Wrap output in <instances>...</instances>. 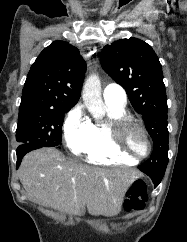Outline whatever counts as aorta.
<instances>
[{"mask_svg": "<svg viewBox=\"0 0 187 242\" xmlns=\"http://www.w3.org/2000/svg\"><path fill=\"white\" fill-rule=\"evenodd\" d=\"M82 98L92 116L102 119L105 116V106L101 97V83L98 75H90L83 86Z\"/></svg>", "mask_w": 187, "mask_h": 242, "instance_id": "obj_1", "label": "aorta"}]
</instances>
